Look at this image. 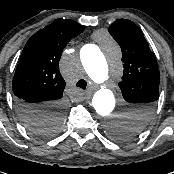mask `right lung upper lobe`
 Returning <instances> with one entry per match:
<instances>
[{"mask_svg": "<svg viewBox=\"0 0 174 174\" xmlns=\"http://www.w3.org/2000/svg\"><path fill=\"white\" fill-rule=\"evenodd\" d=\"M83 30L75 21L57 19L28 40L13 78L15 99L57 102L62 98L65 81L59 71V59L70 39ZM46 116L47 110L25 115V122L37 123Z\"/></svg>", "mask_w": 174, "mask_h": 174, "instance_id": "cb5924a9", "label": "right lung upper lobe"}]
</instances>
